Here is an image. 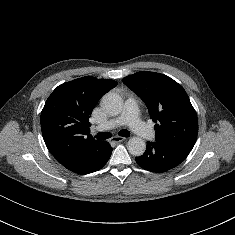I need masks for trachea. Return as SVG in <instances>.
<instances>
[{"label":"trachea","mask_w":235,"mask_h":235,"mask_svg":"<svg viewBox=\"0 0 235 235\" xmlns=\"http://www.w3.org/2000/svg\"><path fill=\"white\" fill-rule=\"evenodd\" d=\"M119 135L122 137H129L130 132L128 130H121L119 132ZM95 137L97 138V140H106L111 137V134L108 132H100Z\"/></svg>","instance_id":"1"}]
</instances>
